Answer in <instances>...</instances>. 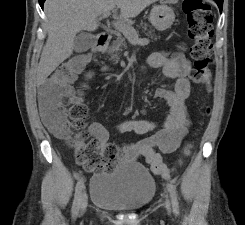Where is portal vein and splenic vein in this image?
<instances>
[{"label": "portal vein and splenic vein", "instance_id": "portal-vein-and-splenic-vein-1", "mask_svg": "<svg viewBox=\"0 0 245 225\" xmlns=\"http://www.w3.org/2000/svg\"><path fill=\"white\" fill-rule=\"evenodd\" d=\"M111 12L107 11L105 13L102 14V18H106L108 16H110ZM113 26L115 27L116 30L120 31L121 33H123V35L133 44V45H142V44H146L149 42L148 39L144 38L141 39L138 36V33L136 32V30L134 29V27H132L131 25L125 24V23H121V22H114Z\"/></svg>", "mask_w": 245, "mask_h": 225}]
</instances>
